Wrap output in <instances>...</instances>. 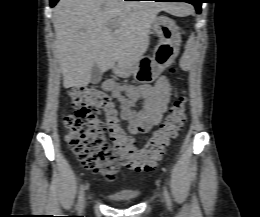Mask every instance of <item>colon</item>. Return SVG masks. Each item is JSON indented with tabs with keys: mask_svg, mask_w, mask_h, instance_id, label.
I'll return each mask as SVG.
<instances>
[{
	"mask_svg": "<svg viewBox=\"0 0 260 217\" xmlns=\"http://www.w3.org/2000/svg\"><path fill=\"white\" fill-rule=\"evenodd\" d=\"M170 72H174L170 69ZM74 114L63 118L65 141L82 165L108 180L115 178L120 166L136 171H151L161 159L168 142L182 128L186 119V98L180 97L165 115L158 128L142 148L122 127L114 103L108 93L93 88L69 91ZM102 111L104 122H98L95 112ZM110 135L111 142L106 137Z\"/></svg>",
	"mask_w": 260,
	"mask_h": 217,
	"instance_id": "5ec220e1",
	"label": "colon"
}]
</instances>
